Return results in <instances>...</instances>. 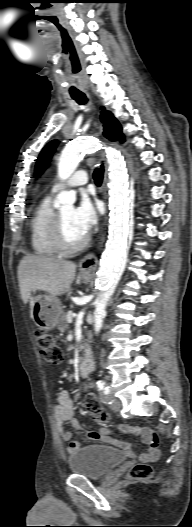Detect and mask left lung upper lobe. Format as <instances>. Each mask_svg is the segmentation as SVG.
Wrapping results in <instances>:
<instances>
[{
	"label": "left lung upper lobe",
	"instance_id": "1",
	"mask_svg": "<svg viewBox=\"0 0 192 527\" xmlns=\"http://www.w3.org/2000/svg\"><path fill=\"white\" fill-rule=\"evenodd\" d=\"M101 121L104 124V136L111 141H124V137L121 133V126L113 114L109 111H105L101 108ZM58 144V141H51L40 153L36 163V175H39L46 166H48L50 158Z\"/></svg>",
	"mask_w": 192,
	"mask_h": 527
}]
</instances>
